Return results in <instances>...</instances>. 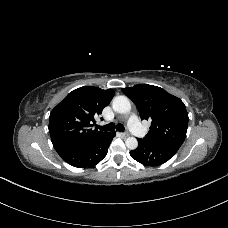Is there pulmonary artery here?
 Here are the masks:
<instances>
[{
  "label": "pulmonary artery",
  "instance_id": "obj_1",
  "mask_svg": "<svg viewBox=\"0 0 228 228\" xmlns=\"http://www.w3.org/2000/svg\"><path fill=\"white\" fill-rule=\"evenodd\" d=\"M128 126L130 130L139 137L145 136V131L141 126L138 118L135 115H132L128 120Z\"/></svg>",
  "mask_w": 228,
  "mask_h": 228
}]
</instances>
